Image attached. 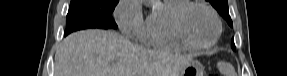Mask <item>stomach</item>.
I'll use <instances>...</instances> for the list:
<instances>
[{
    "label": "stomach",
    "mask_w": 287,
    "mask_h": 76,
    "mask_svg": "<svg viewBox=\"0 0 287 76\" xmlns=\"http://www.w3.org/2000/svg\"><path fill=\"white\" fill-rule=\"evenodd\" d=\"M204 69L199 61L191 59L180 76H203Z\"/></svg>",
    "instance_id": "1"
}]
</instances>
